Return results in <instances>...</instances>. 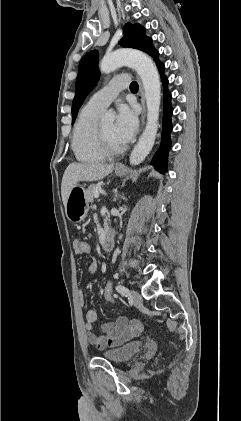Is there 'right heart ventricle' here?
<instances>
[{
    "mask_svg": "<svg viewBox=\"0 0 241 421\" xmlns=\"http://www.w3.org/2000/svg\"><path fill=\"white\" fill-rule=\"evenodd\" d=\"M100 113L86 105L80 111L74 125L71 147L76 159L80 162L98 163L107 158L97 137L96 121Z\"/></svg>",
    "mask_w": 241,
    "mask_h": 421,
    "instance_id": "right-heart-ventricle-1",
    "label": "right heart ventricle"
}]
</instances>
